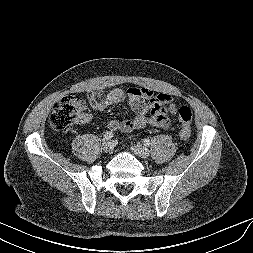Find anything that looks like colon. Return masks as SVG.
Returning a JSON list of instances; mask_svg holds the SVG:
<instances>
[{
  "label": "colon",
  "mask_w": 253,
  "mask_h": 253,
  "mask_svg": "<svg viewBox=\"0 0 253 253\" xmlns=\"http://www.w3.org/2000/svg\"><path fill=\"white\" fill-rule=\"evenodd\" d=\"M86 102L78 96H64L59 99L53 108L50 116V125L57 131H64L76 124L84 115ZM192 113L186 106L179 107V121L181 124L180 137L183 140L189 139L191 135Z\"/></svg>",
  "instance_id": "obj_1"
}]
</instances>
